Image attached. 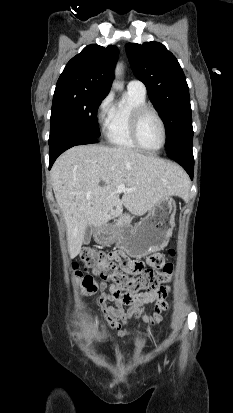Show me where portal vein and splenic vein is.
I'll return each instance as SVG.
<instances>
[{"mask_svg": "<svg viewBox=\"0 0 233 413\" xmlns=\"http://www.w3.org/2000/svg\"><path fill=\"white\" fill-rule=\"evenodd\" d=\"M126 190H127V188L125 187L124 184H120L117 188V192H119V193L124 192Z\"/></svg>", "mask_w": 233, "mask_h": 413, "instance_id": "18ae733b", "label": "portal vein and splenic vein"}]
</instances>
